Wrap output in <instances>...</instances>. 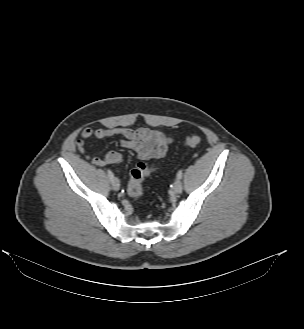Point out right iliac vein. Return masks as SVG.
I'll list each match as a JSON object with an SVG mask.
<instances>
[{
  "label": "right iliac vein",
  "instance_id": "63e3f726",
  "mask_svg": "<svg viewBox=\"0 0 304 329\" xmlns=\"http://www.w3.org/2000/svg\"><path fill=\"white\" fill-rule=\"evenodd\" d=\"M119 187H120L119 181L116 178H114V180L112 182V188L114 190H119Z\"/></svg>",
  "mask_w": 304,
  "mask_h": 329
}]
</instances>
